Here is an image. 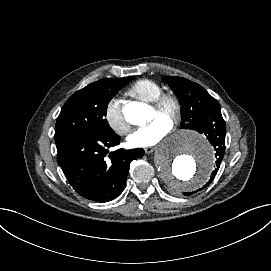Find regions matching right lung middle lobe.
<instances>
[{"mask_svg": "<svg viewBox=\"0 0 271 271\" xmlns=\"http://www.w3.org/2000/svg\"><path fill=\"white\" fill-rule=\"evenodd\" d=\"M134 77L104 78L75 92L64 104L55 128V142L75 134L113 133L104 118L113 96Z\"/></svg>", "mask_w": 271, "mask_h": 271, "instance_id": "1", "label": "right lung middle lobe"}]
</instances>
